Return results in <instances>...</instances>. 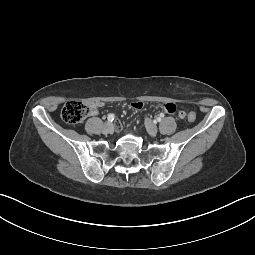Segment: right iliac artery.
<instances>
[{
    "instance_id": "obj_1",
    "label": "right iliac artery",
    "mask_w": 255,
    "mask_h": 255,
    "mask_svg": "<svg viewBox=\"0 0 255 255\" xmlns=\"http://www.w3.org/2000/svg\"><path fill=\"white\" fill-rule=\"evenodd\" d=\"M114 118H115V115H114V114H109V115L107 116L108 121H111V122L114 120Z\"/></svg>"
}]
</instances>
